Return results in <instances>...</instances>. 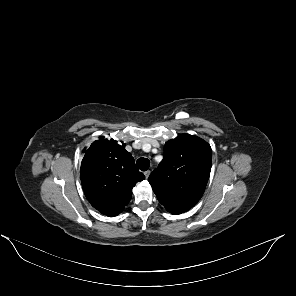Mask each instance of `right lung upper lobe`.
I'll return each mask as SVG.
<instances>
[{
    "label": "right lung upper lobe",
    "instance_id": "obj_1",
    "mask_svg": "<svg viewBox=\"0 0 296 296\" xmlns=\"http://www.w3.org/2000/svg\"><path fill=\"white\" fill-rule=\"evenodd\" d=\"M83 152L81 182L91 205L101 213L123 210L132 197V188L145 178L132 155L124 144L103 136Z\"/></svg>",
    "mask_w": 296,
    "mask_h": 296
}]
</instances>
